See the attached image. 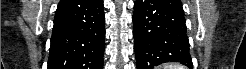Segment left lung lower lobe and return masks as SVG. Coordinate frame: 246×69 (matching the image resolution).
<instances>
[{"label":"left lung lower lobe","instance_id":"1","mask_svg":"<svg viewBox=\"0 0 246 69\" xmlns=\"http://www.w3.org/2000/svg\"><path fill=\"white\" fill-rule=\"evenodd\" d=\"M137 69L168 62L192 67L184 14L165 0H136L133 15Z\"/></svg>","mask_w":246,"mask_h":69}]
</instances>
